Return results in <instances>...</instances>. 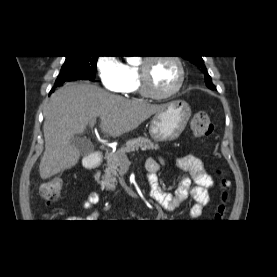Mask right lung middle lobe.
Listing matches in <instances>:
<instances>
[{
    "instance_id": "right-lung-middle-lobe-1",
    "label": "right lung middle lobe",
    "mask_w": 277,
    "mask_h": 277,
    "mask_svg": "<svg viewBox=\"0 0 277 277\" xmlns=\"http://www.w3.org/2000/svg\"><path fill=\"white\" fill-rule=\"evenodd\" d=\"M97 59L98 56H66L59 76L77 75L82 79L93 80L96 72Z\"/></svg>"
}]
</instances>
